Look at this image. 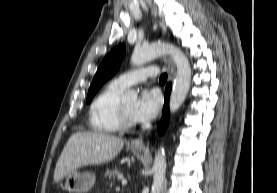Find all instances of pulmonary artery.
<instances>
[{
	"mask_svg": "<svg viewBox=\"0 0 277 193\" xmlns=\"http://www.w3.org/2000/svg\"><path fill=\"white\" fill-rule=\"evenodd\" d=\"M157 73V67L150 66L123 73L116 77L112 82L120 88L126 89L134 84L144 82L150 77H155Z\"/></svg>",
	"mask_w": 277,
	"mask_h": 193,
	"instance_id": "1",
	"label": "pulmonary artery"
}]
</instances>
